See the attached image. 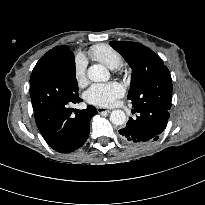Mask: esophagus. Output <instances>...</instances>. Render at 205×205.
<instances>
[{"label":"esophagus","mask_w":205,"mask_h":205,"mask_svg":"<svg viewBox=\"0 0 205 205\" xmlns=\"http://www.w3.org/2000/svg\"><path fill=\"white\" fill-rule=\"evenodd\" d=\"M97 111L99 113H110L111 112V110L103 108V107H97Z\"/></svg>","instance_id":"obj_1"}]
</instances>
